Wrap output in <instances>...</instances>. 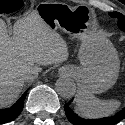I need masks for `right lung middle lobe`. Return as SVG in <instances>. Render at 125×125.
Here are the masks:
<instances>
[{"label": "right lung middle lobe", "instance_id": "obj_1", "mask_svg": "<svg viewBox=\"0 0 125 125\" xmlns=\"http://www.w3.org/2000/svg\"><path fill=\"white\" fill-rule=\"evenodd\" d=\"M23 5L22 0H3L0 1V13L6 12L10 13L18 10Z\"/></svg>", "mask_w": 125, "mask_h": 125}]
</instances>
